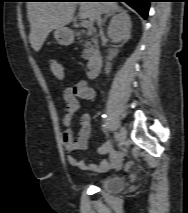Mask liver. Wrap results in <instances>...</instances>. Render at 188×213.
<instances>
[{
  "label": "liver",
  "mask_w": 188,
  "mask_h": 213,
  "mask_svg": "<svg viewBox=\"0 0 188 213\" xmlns=\"http://www.w3.org/2000/svg\"><path fill=\"white\" fill-rule=\"evenodd\" d=\"M77 3L80 4V17L88 19L91 24L98 13H109L119 8L116 2H28L29 40L34 51H40L52 30L72 21Z\"/></svg>",
  "instance_id": "1"
}]
</instances>
